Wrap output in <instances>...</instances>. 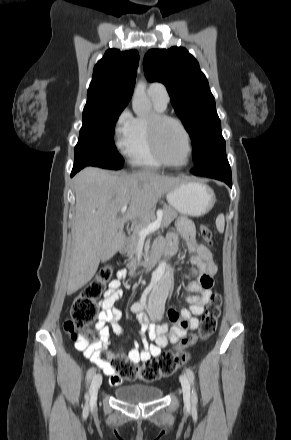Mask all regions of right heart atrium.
I'll list each match as a JSON object with an SVG mask.
<instances>
[{"instance_id": "obj_1", "label": "right heart atrium", "mask_w": 291, "mask_h": 440, "mask_svg": "<svg viewBox=\"0 0 291 440\" xmlns=\"http://www.w3.org/2000/svg\"><path fill=\"white\" fill-rule=\"evenodd\" d=\"M134 117L128 109L118 116L114 126V139L119 150L124 151L129 143L133 131Z\"/></svg>"}]
</instances>
